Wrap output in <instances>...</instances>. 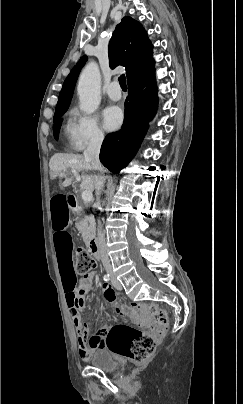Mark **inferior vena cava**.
I'll return each mask as SVG.
<instances>
[{
    "instance_id": "1",
    "label": "inferior vena cava",
    "mask_w": 243,
    "mask_h": 404,
    "mask_svg": "<svg viewBox=\"0 0 243 404\" xmlns=\"http://www.w3.org/2000/svg\"><path fill=\"white\" fill-rule=\"evenodd\" d=\"M104 140V136H101V134H95L93 138H91L87 150H84V158L86 162H90L93 170H97V172H100V174H97V176H94L95 180V190H96V196H97V206L100 208V190H102L105 182V178L103 176V168L100 164L99 160V154H100V148L101 144ZM97 238H98V252L101 256V262L104 264L105 267V273L106 274H111L112 273V265L110 264V260L108 258V252L106 250V242H105V236L101 230V228H98L97 232Z\"/></svg>"
}]
</instances>
